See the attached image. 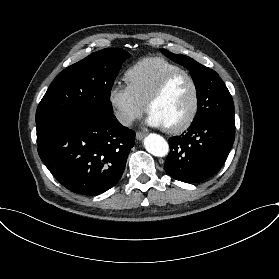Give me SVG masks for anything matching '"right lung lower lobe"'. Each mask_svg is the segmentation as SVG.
<instances>
[{"mask_svg":"<svg viewBox=\"0 0 279 279\" xmlns=\"http://www.w3.org/2000/svg\"><path fill=\"white\" fill-rule=\"evenodd\" d=\"M38 153L56 180L81 195H98L121 178L135 132L114 115L54 112L36 122Z\"/></svg>","mask_w":279,"mask_h":279,"instance_id":"right-lung-lower-lobe-1","label":"right lung lower lobe"}]
</instances>
